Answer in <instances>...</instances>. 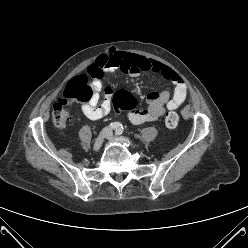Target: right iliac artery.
Returning <instances> with one entry per match:
<instances>
[{
  "label": "right iliac artery",
  "mask_w": 248,
  "mask_h": 248,
  "mask_svg": "<svg viewBox=\"0 0 248 248\" xmlns=\"http://www.w3.org/2000/svg\"><path fill=\"white\" fill-rule=\"evenodd\" d=\"M120 126H121V124L119 123V122H113V123H111L110 125H109V127L111 128V129H119L120 128Z\"/></svg>",
  "instance_id": "obj_1"
}]
</instances>
